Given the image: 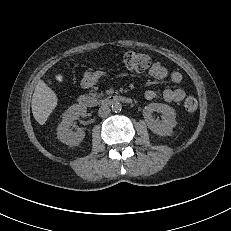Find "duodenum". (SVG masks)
Listing matches in <instances>:
<instances>
[{
  "instance_id": "duodenum-1",
  "label": "duodenum",
  "mask_w": 231,
  "mask_h": 231,
  "mask_svg": "<svg viewBox=\"0 0 231 231\" xmlns=\"http://www.w3.org/2000/svg\"><path fill=\"white\" fill-rule=\"evenodd\" d=\"M77 102L82 107H92L97 103L95 98L87 94L80 95L77 99ZM117 102L130 104L132 103V99L123 95H110L104 98L101 103L104 105H108Z\"/></svg>"
}]
</instances>
